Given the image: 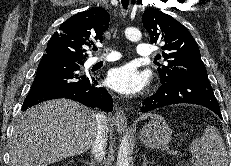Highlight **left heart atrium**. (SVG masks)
<instances>
[{
  "label": "left heart atrium",
  "mask_w": 231,
  "mask_h": 166,
  "mask_svg": "<svg viewBox=\"0 0 231 166\" xmlns=\"http://www.w3.org/2000/svg\"><path fill=\"white\" fill-rule=\"evenodd\" d=\"M108 84L111 88L125 95L141 92L148 83V75L131 64L113 68L108 73Z\"/></svg>",
  "instance_id": "39dd6f15"
}]
</instances>
